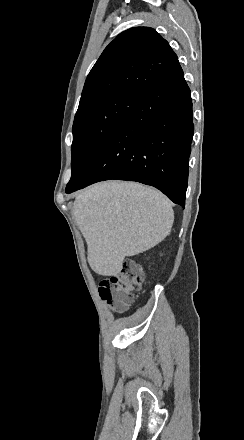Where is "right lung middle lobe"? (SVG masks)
I'll return each instance as SVG.
<instances>
[{
    "label": "right lung middle lobe",
    "instance_id": "right-lung-middle-lobe-1",
    "mask_svg": "<svg viewBox=\"0 0 244 440\" xmlns=\"http://www.w3.org/2000/svg\"><path fill=\"white\" fill-rule=\"evenodd\" d=\"M140 98L119 94L79 105L72 129V176L67 187L81 177L99 148Z\"/></svg>",
    "mask_w": 244,
    "mask_h": 440
}]
</instances>
